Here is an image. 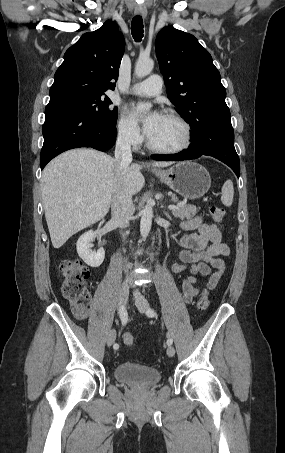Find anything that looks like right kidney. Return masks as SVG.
<instances>
[{"label":"right kidney","instance_id":"ca27d5eb","mask_svg":"<svg viewBox=\"0 0 285 453\" xmlns=\"http://www.w3.org/2000/svg\"><path fill=\"white\" fill-rule=\"evenodd\" d=\"M96 237V233L93 230H89L82 234L76 244L77 253L84 262L93 268L99 267L105 258V251L103 248H99L97 252H93L92 241Z\"/></svg>","mask_w":285,"mask_h":453}]
</instances>
